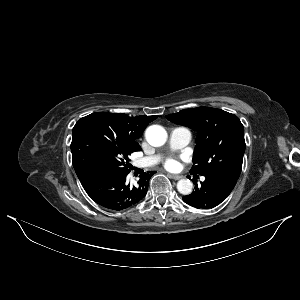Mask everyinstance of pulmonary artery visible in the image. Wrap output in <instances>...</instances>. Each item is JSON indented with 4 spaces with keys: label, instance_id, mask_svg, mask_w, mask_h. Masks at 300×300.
<instances>
[{
    "label": "pulmonary artery",
    "instance_id": "e3ab8cb5",
    "mask_svg": "<svg viewBox=\"0 0 300 300\" xmlns=\"http://www.w3.org/2000/svg\"><path fill=\"white\" fill-rule=\"evenodd\" d=\"M192 138L191 131L186 127H175L171 130L169 136V143L172 148L178 149L186 146L190 143ZM160 157L158 155L146 157L139 159L134 162V166L138 168H147L155 165L159 161ZM202 180L205 178L202 177Z\"/></svg>",
    "mask_w": 300,
    "mask_h": 300
}]
</instances>
